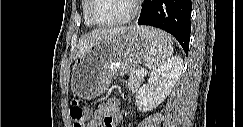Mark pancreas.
<instances>
[{"label":"pancreas","instance_id":"pancreas-1","mask_svg":"<svg viewBox=\"0 0 243 127\" xmlns=\"http://www.w3.org/2000/svg\"><path fill=\"white\" fill-rule=\"evenodd\" d=\"M143 77H144L143 74L132 72L126 83L131 90H136L139 87Z\"/></svg>","mask_w":243,"mask_h":127}]
</instances>
